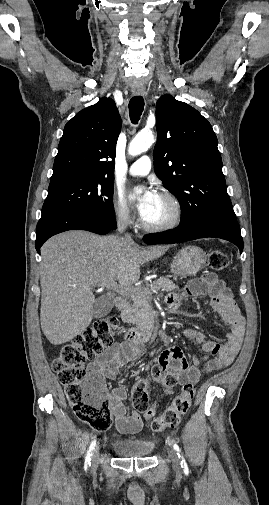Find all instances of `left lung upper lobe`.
<instances>
[{
	"label": "left lung upper lobe",
	"instance_id": "obj_1",
	"mask_svg": "<svg viewBox=\"0 0 269 505\" xmlns=\"http://www.w3.org/2000/svg\"><path fill=\"white\" fill-rule=\"evenodd\" d=\"M156 128L155 173L180 202L179 227L190 228L220 215L235 217L210 123L190 105L166 94L156 104Z\"/></svg>",
	"mask_w": 269,
	"mask_h": 505
}]
</instances>
